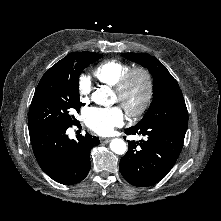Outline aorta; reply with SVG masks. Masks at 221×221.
Returning a JSON list of instances; mask_svg holds the SVG:
<instances>
[{
	"label": "aorta",
	"instance_id": "obj_1",
	"mask_svg": "<svg viewBox=\"0 0 221 221\" xmlns=\"http://www.w3.org/2000/svg\"><path fill=\"white\" fill-rule=\"evenodd\" d=\"M108 91L104 88H99L97 89L93 94H92V100L98 104H105L106 103V97ZM110 149L118 155L125 154L127 151V145L124 142V140L120 138H115L111 140L110 142Z\"/></svg>",
	"mask_w": 221,
	"mask_h": 221
}]
</instances>
